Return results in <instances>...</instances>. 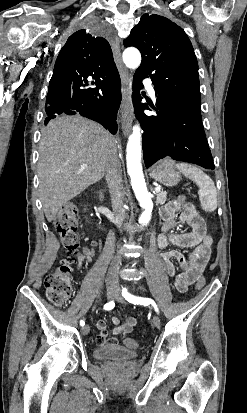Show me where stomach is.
Masks as SVG:
<instances>
[{
    "label": "stomach",
    "mask_w": 247,
    "mask_h": 413,
    "mask_svg": "<svg viewBox=\"0 0 247 413\" xmlns=\"http://www.w3.org/2000/svg\"><path fill=\"white\" fill-rule=\"evenodd\" d=\"M150 176L166 186H174L181 180V174L179 170H176L172 160H161L159 164L151 168Z\"/></svg>",
    "instance_id": "1"
}]
</instances>
